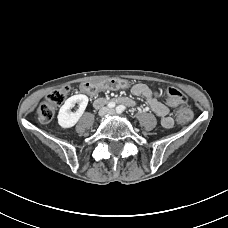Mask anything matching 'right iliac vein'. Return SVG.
<instances>
[{
  "label": "right iliac vein",
  "instance_id": "obj_1",
  "mask_svg": "<svg viewBox=\"0 0 228 228\" xmlns=\"http://www.w3.org/2000/svg\"><path fill=\"white\" fill-rule=\"evenodd\" d=\"M108 113V109L107 108H101L99 111V116L103 117Z\"/></svg>",
  "mask_w": 228,
  "mask_h": 228
}]
</instances>
